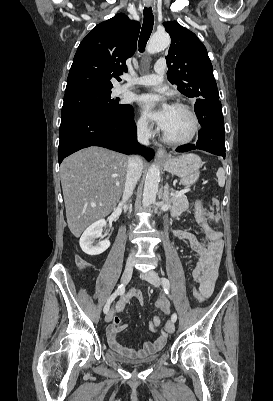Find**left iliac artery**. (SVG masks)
Returning a JSON list of instances; mask_svg holds the SVG:
<instances>
[{
  "label": "left iliac artery",
  "instance_id": "left-iliac-artery-1",
  "mask_svg": "<svg viewBox=\"0 0 273 401\" xmlns=\"http://www.w3.org/2000/svg\"><path fill=\"white\" fill-rule=\"evenodd\" d=\"M161 282H162V284H163V287H164L165 292L168 294V291H169V288H170V282H169V280H168L167 278L163 277V278H161ZM176 319H177V315H176L175 313L172 314L171 320H172L173 322H175Z\"/></svg>",
  "mask_w": 273,
  "mask_h": 401
}]
</instances>
